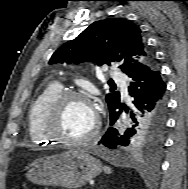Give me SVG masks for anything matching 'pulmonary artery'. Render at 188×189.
Instances as JSON below:
<instances>
[{"mask_svg":"<svg viewBox=\"0 0 188 189\" xmlns=\"http://www.w3.org/2000/svg\"><path fill=\"white\" fill-rule=\"evenodd\" d=\"M111 77L115 81L119 82V84L121 85V89H122L123 95L125 97H127L128 96V91H127V84L124 82V78H125L124 75L121 72L117 71V70H112L111 71Z\"/></svg>","mask_w":188,"mask_h":189,"instance_id":"e3ab8cb5","label":"pulmonary artery"}]
</instances>
